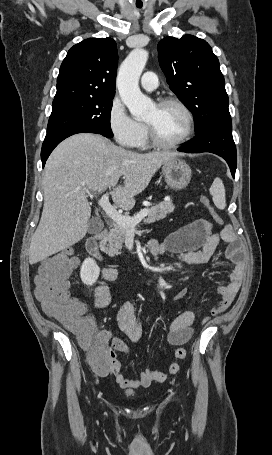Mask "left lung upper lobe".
<instances>
[{"instance_id": "1", "label": "left lung upper lobe", "mask_w": 272, "mask_h": 455, "mask_svg": "<svg viewBox=\"0 0 272 455\" xmlns=\"http://www.w3.org/2000/svg\"><path fill=\"white\" fill-rule=\"evenodd\" d=\"M158 58L170 89L194 116L196 134L231 122L219 61L205 40L165 37L158 44Z\"/></svg>"}]
</instances>
